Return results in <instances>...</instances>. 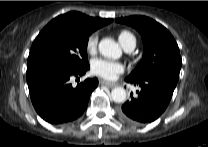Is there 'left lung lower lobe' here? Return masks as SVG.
I'll use <instances>...</instances> for the list:
<instances>
[{"instance_id": "0a47b994", "label": "left lung lower lobe", "mask_w": 208, "mask_h": 147, "mask_svg": "<svg viewBox=\"0 0 208 147\" xmlns=\"http://www.w3.org/2000/svg\"><path fill=\"white\" fill-rule=\"evenodd\" d=\"M141 87L137 96L119 109V116L132 124H145L156 120L167 108L177 81L164 75H151L141 79H125Z\"/></svg>"}]
</instances>
